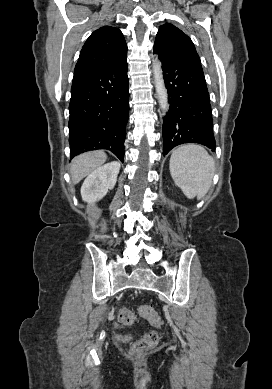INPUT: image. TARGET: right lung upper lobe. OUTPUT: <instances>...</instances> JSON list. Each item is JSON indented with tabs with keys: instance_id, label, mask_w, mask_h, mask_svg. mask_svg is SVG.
Wrapping results in <instances>:
<instances>
[{
	"instance_id": "right-lung-upper-lobe-1",
	"label": "right lung upper lobe",
	"mask_w": 272,
	"mask_h": 389,
	"mask_svg": "<svg viewBox=\"0 0 272 389\" xmlns=\"http://www.w3.org/2000/svg\"><path fill=\"white\" fill-rule=\"evenodd\" d=\"M127 53L125 39L118 28L104 26L94 31L85 42L74 74L90 72L113 64Z\"/></svg>"
}]
</instances>
